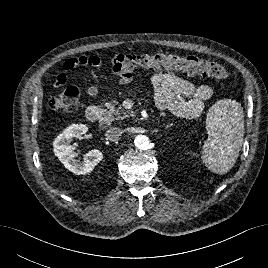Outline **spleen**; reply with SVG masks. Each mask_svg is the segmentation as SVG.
I'll use <instances>...</instances> for the list:
<instances>
[{
  "label": "spleen",
  "instance_id": "spleen-1",
  "mask_svg": "<svg viewBox=\"0 0 268 268\" xmlns=\"http://www.w3.org/2000/svg\"><path fill=\"white\" fill-rule=\"evenodd\" d=\"M206 129L201 159L210 171L225 174L234 166L243 143V107L236 100L217 101L208 110Z\"/></svg>",
  "mask_w": 268,
  "mask_h": 268
}]
</instances>
